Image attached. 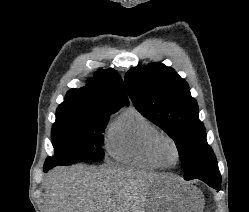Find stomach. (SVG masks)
Here are the masks:
<instances>
[{
	"mask_svg": "<svg viewBox=\"0 0 249 212\" xmlns=\"http://www.w3.org/2000/svg\"><path fill=\"white\" fill-rule=\"evenodd\" d=\"M150 186L147 212H203L204 196L179 175H156Z\"/></svg>",
	"mask_w": 249,
	"mask_h": 212,
	"instance_id": "stomach-1",
	"label": "stomach"
}]
</instances>
